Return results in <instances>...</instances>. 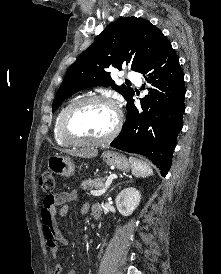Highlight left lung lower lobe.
<instances>
[{
    "label": "left lung lower lobe",
    "instance_id": "obj_1",
    "mask_svg": "<svg viewBox=\"0 0 221 274\" xmlns=\"http://www.w3.org/2000/svg\"><path fill=\"white\" fill-rule=\"evenodd\" d=\"M149 71H152L151 82L156 89L141 99L139 110L134 105L133 96L128 100L126 122L111 146L148 157L165 177L185 110L184 74L170 42L141 73Z\"/></svg>",
    "mask_w": 221,
    "mask_h": 274
}]
</instances>
